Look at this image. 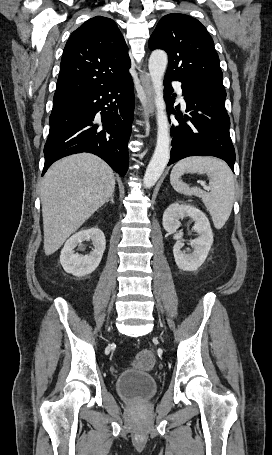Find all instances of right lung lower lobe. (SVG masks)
<instances>
[{"label":"right lung lower lobe","instance_id":"right-lung-lower-lobe-1","mask_svg":"<svg viewBox=\"0 0 272 455\" xmlns=\"http://www.w3.org/2000/svg\"><path fill=\"white\" fill-rule=\"evenodd\" d=\"M133 110L131 75L53 103L42 175L64 156L91 152L124 176L128 168L127 145ZM98 111H101V117Z\"/></svg>","mask_w":272,"mask_h":455}]
</instances>
